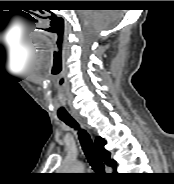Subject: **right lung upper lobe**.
<instances>
[{
  "label": "right lung upper lobe",
  "instance_id": "obj_1",
  "mask_svg": "<svg viewBox=\"0 0 174 184\" xmlns=\"http://www.w3.org/2000/svg\"><path fill=\"white\" fill-rule=\"evenodd\" d=\"M95 144H96V148L98 150V153H99L100 157L103 159V161L105 162V164L107 166L112 167L115 170L116 169V162L110 158V152H108L104 148L106 141L101 137H97L95 140Z\"/></svg>",
  "mask_w": 174,
  "mask_h": 184
}]
</instances>
